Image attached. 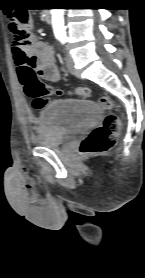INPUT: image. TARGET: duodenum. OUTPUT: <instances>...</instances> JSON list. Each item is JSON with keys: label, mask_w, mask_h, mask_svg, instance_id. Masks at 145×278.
Returning <instances> with one entry per match:
<instances>
[{"label": "duodenum", "mask_w": 145, "mask_h": 278, "mask_svg": "<svg viewBox=\"0 0 145 278\" xmlns=\"http://www.w3.org/2000/svg\"><path fill=\"white\" fill-rule=\"evenodd\" d=\"M44 20L46 23L50 24L52 22V15H51V11L50 10H47L45 12V15H44Z\"/></svg>", "instance_id": "410a0bca"}]
</instances>
